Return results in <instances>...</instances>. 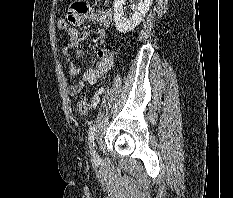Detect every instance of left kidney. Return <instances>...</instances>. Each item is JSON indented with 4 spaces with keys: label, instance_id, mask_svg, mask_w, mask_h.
<instances>
[{
    "label": "left kidney",
    "instance_id": "1",
    "mask_svg": "<svg viewBox=\"0 0 233 198\" xmlns=\"http://www.w3.org/2000/svg\"><path fill=\"white\" fill-rule=\"evenodd\" d=\"M125 0H114V23L117 30L121 33H127L139 25L146 13L149 11L153 0H139L137 5H133L132 17L126 18L123 12Z\"/></svg>",
    "mask_w": 233,
    "mask_h": 198
}]
</instances>
